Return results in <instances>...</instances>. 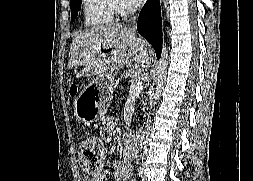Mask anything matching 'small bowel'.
Wrapping results in <instances>:
<instances>
[{"mask_svg": "<svg viewBox=\"0 0 253 181\" xmlns=\"http://www.w3.org/2000/svg\"><path fill=\"white\" fill-rule=\"evenodd\" d=\"M115 125L113 122H107L101 129V136L106 142H110L114 136ZM124 139L127 143L132 142V136L129 133L124 134ZM133 153L126 149V153L123 159L114 160L111 163L112 172L116 181H127L132 172V160ZM106 173L95 174L91 177H86L84 181H102Z\"/></svg>", "mask_w": 253, "mask_h": 181, "instance_id": "1", "label": "small bowel"}]
</instances>
